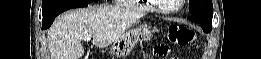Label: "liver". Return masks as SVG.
Segmentation results:
<instances>
[{"label": "liver", "mask_w": 261, "mask_h": 59, "mask_svg": "<svg viewBox=\"0 0 261 59\" xmlns=\"http://www.w3.org/2000/svg\"><path fill=\"white\" fill-rule=\"evenodd\" d=\"M143 14L119 8L97 6L65 12L57 17L47 32L51 59H80L84 55L81 41L104 48L125 34Z\"/></svg>", "instance_id": "obj_1"}]
</instances>
